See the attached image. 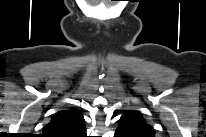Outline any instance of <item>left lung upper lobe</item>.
<instances>
[{"label": "left lung upper lobe", "instance_id": "obj_1", "mask_svg": "<svg viewBox=\"0 0 206 137\" xmlns=\"http://www.w3.org/2000/svg\"><path fill=\"white\" fill-rule=\"evenodd\" d=\"M116 131L128 133L131 137H154V128L146 122L138 111H127L119 120Z\"/></svg>", "mask_w": 206, "mask_h": 137}]
</instances>
